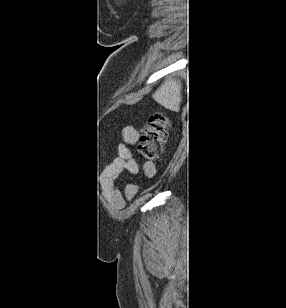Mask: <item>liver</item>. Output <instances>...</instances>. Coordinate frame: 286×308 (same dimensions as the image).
Segmentation results:
<instances>
[{"label":"liver","mask_w":286,"mask_h":308,"mask_svg":"<svg viewBox=\"0 0 286 308\" xmlns=\"http://www.w3.org/2000/svg\"><path fill=\"white\" fill-rule=\"evenodd\" d=\"M182 84L179 80L168 78L153 93V99L171 111H179L182 102Z\"/></svg>","instance_id":"liver-1"}]
</instances>
